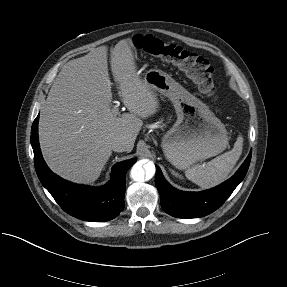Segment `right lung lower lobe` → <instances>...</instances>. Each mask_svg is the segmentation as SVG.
I'll return each instance as SVG.
<instances>
[{
  "label": "right lung lower lobe",
  "instance_id": "obj_1",
  "mask_svg": "<svg viewBox=\"0 0 287 287\" xmlns=\"http://www.w3.org/2000/svg\"><path fill=\"white\" fill-rule=\"evenodd\" d=\"M38 119L31 129L34 165L42 185L68 214L85 221L103 222L114 219L124 209L125 175L136 158L114 165L111 180L101 187L73 184L55 175L43 160L38 142Z\"/></svg>",
  "mask_w": 287,
  "mask_h": 287
}]
</instances>
